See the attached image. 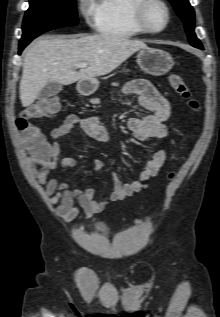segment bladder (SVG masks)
Segmentation results:
<instances>
[{"instance_id":"31cf9c89","label":"bladder","mask_w":220,"mask_h":317,"mask_svg":"<svg viewBox=\"0 0 220 317\" xmlns=\"http://www.w3.org/2000/svg\"><path fill=\"white\" fill-rule=\"evenodd\" d=\"M90 231L96 234H102L107 231V226L103 223H97L91 226Z\"/></svg>"}]
</instances>
